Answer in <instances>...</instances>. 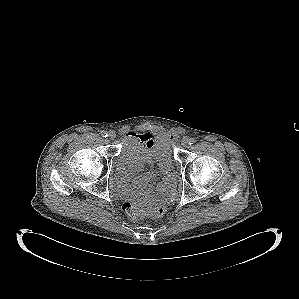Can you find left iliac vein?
<instances>
[{
    "instance_id": "1",
    "label": "left iliac vein",
    "mask_w": 299,
    "mask_h": 299,
    "mask_svg": "<svg viewBox=\"0 0 299 299\" xmlns=\"http://www.w3.org/2000/svg\"><path fill=\"white\" fill-rule=\"evenodd\" d=\"M189 138L188 137H183V139H182V145L184 146V147H188V145H189Z\"/></svg>"
}]
</instances>
